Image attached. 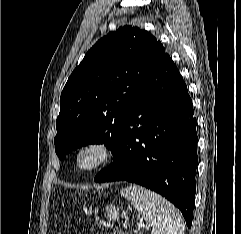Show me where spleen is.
Wrapping results in <instances>:
<instances>
[{
    "instance_id": "spleen-1",
    "label": "spleen",
    "mask_w": 241,
    "mask_h": 234,
    "mask_svg": "<svg viewBox=\"0 0 241 234\" xmlns=\"http://www.w3.org/2000/svg\"><path fill=\"white\" fill-rule=\"evenodd\" d=\"M121 195L132 203L152 227L151 234H184L182 215L161 195L140 185L125 187Z\"/></svg>"
}]
</instances>
